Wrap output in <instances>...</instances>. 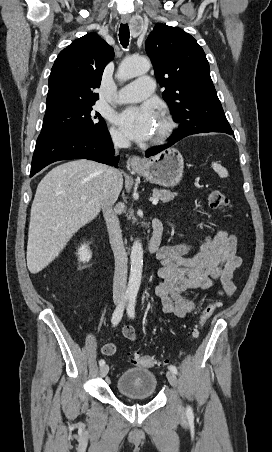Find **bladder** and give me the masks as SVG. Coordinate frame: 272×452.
Segmentation results:
<instances>
[{
    "label": "bladder",
    "mask_w": 272,
    "mask_h": 452,
    "mask_svg": "<svg viewBox=\"0 0 272 452\" xmlns=\"http://www.w3.org/2000/svg\"><path fill=\"white\" fill-rule=\"evenodd\" d=\"M156 375L147 368H131L121 373L116 382L117 391L127 397L151 398L157 392Z\"/></svg>",
    "instance_id": "bladder-1"
}]
</instances>
